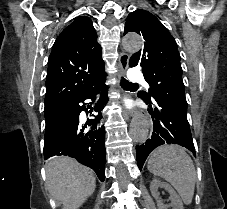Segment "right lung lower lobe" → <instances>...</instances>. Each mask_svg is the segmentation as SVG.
<instances>
[{"label":"right lung lower lobe","mask_w":227,"mask_h":209,"mask_svg":"<svg viewBox=\"0 0 227 209\" xmlns=\"http://www.w3.org/2000/svg\"><path fill=\"white\" fill-rule=\"evenodd\" d=\"M105 79L106 76L96 80L85 92L65 102L60 112L46 123L43 149L45 160L61 155L73 157L92 168L101 181L105 179V128L98 127L97 123L106 100L101 96L94 108L98 115L85 125L79 121V114L87 110L79 103L93 100L96 93L104 91ZM87 124L92 125L90 130H85Z\"/></svg>","instance_id":"98d812e1"}]
</instances>
